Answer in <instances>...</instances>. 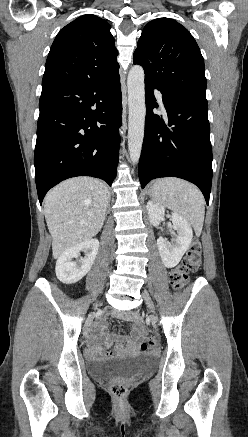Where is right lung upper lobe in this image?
<instances>
[{"instance_id": "right-lung-upper-lobe-1", "label": "right lung upper lobe", "mask_w": 248, "mask_h": 437, "mask_svg": "<svg viewBox=\"0 0 248 437\" xmlns=\"http://www.w3.org/2000/svg\"><path fill=\"white\" fill-rule=\"evenodd\" d=\"M118 51L107 21L78 17L56 36L47 57L42 87L82 85L118 72Z\"/></svg>"}]
</instances>
